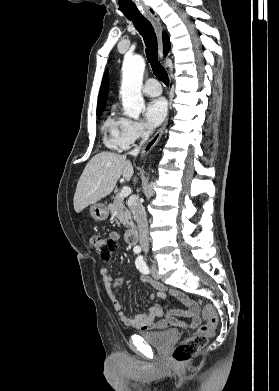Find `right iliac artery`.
<instances>
[{"instance_id":"82829eb1","label":"right iliac artery","mask_w":279,"mask_h":391,"mask_svg":"<svg viewBox=\"0 0 279 391\" xmlns=\"http://www.w3.org/2000/svg\"><path fill=\"white\" fill-rule=\"evenodd\" d=\"M134 252H135L136 254L140 253V252H141V248H140V247H135V248H134Z\"/></svg>"}]
</instances>
